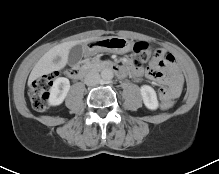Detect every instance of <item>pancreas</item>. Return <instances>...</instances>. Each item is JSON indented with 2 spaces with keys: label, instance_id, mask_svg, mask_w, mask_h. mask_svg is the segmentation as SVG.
Segmentation results:
<instances>
[{
  "label": "pancreas",
  "instance_id": "pancreas-1",
  "mask_svg": "<svg viewBox=\"0 0 219 174\" xmlns=\"http://www.w3.org/2000/svg\"><path fill=\"white\" fill-rule=\"evenodd\" d=\"M88 65L92 68H97L100 65V61L97 59H93L90 62H88Z\"/></svg>",
  "mask_w": 219,
  "mask_h": 174
}]
</instances>
